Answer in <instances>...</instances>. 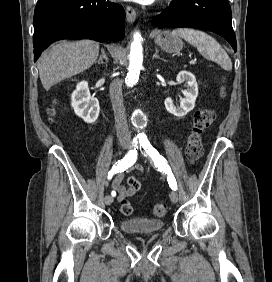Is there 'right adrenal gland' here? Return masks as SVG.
<instances>
[{
    "label": "right adrenal gland",
    "instance_id": "right-adrenal-gland-1",
    "mask_svg": "<svg viewBox=\"0 0 272 282\" xmlns=\"http://www.w3.org/2000/svg\"><path fill=\"white\" fill-rule=\"evenodd\" d=\"M103 59H105L106 62H108V57H107V55H106L104 49L101 48V55H100V57L98 58L97 62L100 63V62H102Z\"/></svg>",
    "mask_w": 272,
    "mask_h": 282
}]
</instances>
